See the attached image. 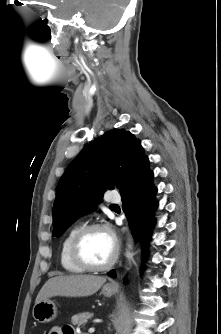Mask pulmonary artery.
Listing matches in <instances>:
<instances>
[{
    "mask_svg": "<svg viewBox=\"0 0 221 334\" xmlns=\"http://www.w3.org/2000/svg\"><path fill=\"white\" fill-rule=\"evenodd\" d=\"M106 200L108 201V202H119V198L118 197H116V196H108L107 198H106Z\"/></svg>",
    "mask_w": 221,
    "mask_h": 334,
    "instance_id": "pulmonary-artery-1",
    "label": "pulmonary artery"
}]
</instances>
